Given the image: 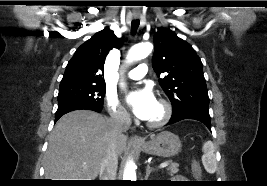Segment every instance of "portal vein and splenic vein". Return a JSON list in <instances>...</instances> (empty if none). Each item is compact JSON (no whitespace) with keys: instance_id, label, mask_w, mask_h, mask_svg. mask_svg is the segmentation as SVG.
Instances as JSON below:
<instances>
[{"instance_id":"obj_1","label":"portal vein and splenic vein","mask_w":267,"mask_h":186,"mask_svg":"<svg viewBox=\"0 0 267 186\" xmlns=\"http://www.w3.org/2000/svg\"><path fill=\"white\" fill-rule=\"evenodd\" d=\"M168 166V162H163V163H161L160 164V168H165V167H167Z\"/></svg>"}]
</instances>
